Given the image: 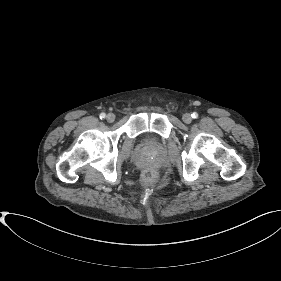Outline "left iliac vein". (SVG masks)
<instances>
[{
	"label": "left iliac vein",
	"instance_id": "obj_1",
	"mask_svg": "<svg viewBox=\"0 0 281 281\" xmlns=\"http://www.w3.org/2000/svg\"><path fill=\"white\" fill-rule=\"evenodd\" d=\"M182 120H183V122H185L186 124H189V123H191V121H192V116H191L189 113H185V114L182 116Z\"/></svg>",
	"mask_w": 281,
	"mask_h": 281
}]
</instances>
